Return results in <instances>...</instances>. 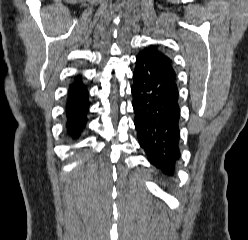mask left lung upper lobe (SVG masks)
<instances>
[{
    "label": "left lung upper lobe",
    "mask_w": 248,
    "mask_h": 240,
    "mask_svg": "<svg viewBox=\"0 0 248 240\" xmlns=\"http://www.w3.org/2000/svg\"><path fill=\"white\" fill-rule=\"evenodd\" d=\"M140 54H143L146 58L158 66L166 75L176 81V73L172 67L171 59L157 47L151 46L150 48H145L140 52Z\"/></svg>",
    "instance_id": "5c2ea615"
}]
</instances>
